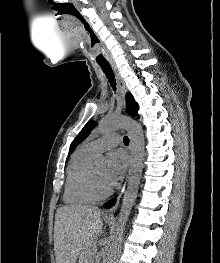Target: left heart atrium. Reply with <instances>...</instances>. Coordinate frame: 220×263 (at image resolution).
Returning <instances> with one entry per match:
<instances>
[{"label":"left heart atrium","instance_id":"obj_1","mask_svg":"<svg viewBox=\"0 0 220 263\" xmlns=\"http://www.w3.org/2000/svg\"><path fill=\"white\" fill-rule=\"evenodd\" d=\"M127 167L126 155L120 151H113L109 154L105 175L108 182L114 185L122 178Z\"/></svg>","mask_w":220,"mask_h":263}]
</instances>
